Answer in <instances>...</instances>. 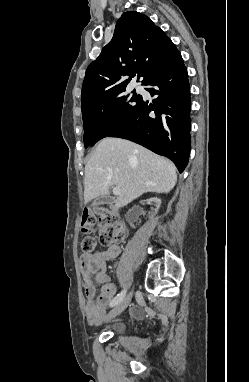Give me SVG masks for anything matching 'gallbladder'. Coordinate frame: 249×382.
<instances>
[{
    "label": "gallbladder",
    "instance_id": "gallbladder-1",
    "mask_svg": "<svg viewBox=\"0 0 249 382\" xmlns=\"http://www.w3.org/2000/svg\"><path fill=\"white\" fill-rule=\"evenodd\" d=\"M111 202L112 200L109 197H99L93 201L92 206L98 207L100 205L110 204Z\"/></svg>",
    "mask_w": 249,
    "mask_h": 382
}]
</instances>
